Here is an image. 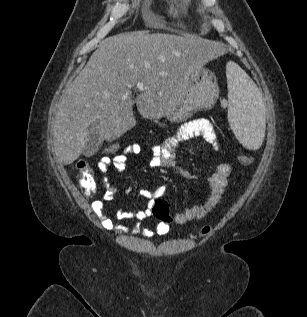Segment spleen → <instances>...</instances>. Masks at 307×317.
I'll return each instance as SVG.
<instances>
[{
    "label": "spleen",
    "mask_w": 307,
    "mask_h": 317,
    "mask_svg": "<svg viewBox=\"0 0 307 317\" xmlns=\"http://www.w3.org/2000/svg\"><path fill=\"white\" fill-rule=\"evenodd\" d=\"M228 120L240 143L248 149L260 148L265 136V108L255 83L236 63L226 66Z\"/></svg>",
    "instance_id": "spleen-1"
}]
</instances>
